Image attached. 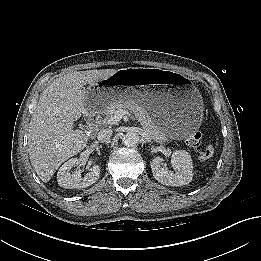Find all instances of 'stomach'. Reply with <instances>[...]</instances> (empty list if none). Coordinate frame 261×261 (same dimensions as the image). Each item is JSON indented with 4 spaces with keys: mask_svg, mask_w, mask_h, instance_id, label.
<instances>
[{
    "mask_svg": "<svg viewBox=\"0 0 261 261\" xmlns=\"http://www.w3.org/2000/svg\"><path fill=\"white\" fill-rule=\"evenodd\" d=\"M89 91L86 106L103 110L114 101L134 100L146 108L153 122L168 137L187 138L200 125L202 98L181 75L157 68H126L117 71ZM102 82V81H101Z\"/></svg>",
    "mask_w": 261,
    "mask_h": 261,
    "instance_id": "obj_1",
    "label": "stomach"
}]
</instances>
